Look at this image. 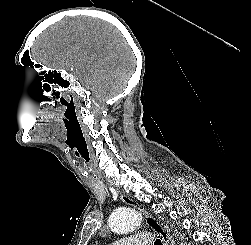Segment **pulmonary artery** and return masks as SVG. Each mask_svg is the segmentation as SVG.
<instances>
[{
  "label": "pulmonary artery",
  "instance_id": "pulmonary-artery-1",
  "mask_svg": "<svg viewBox=\"0 0 251 245\" xmlns=\"http://www.w3.org/2000/svg\"><path fill=\"white\" fill-rule=\"evenodd\" d=\"M152 239V233L143 232L125 240L114 243L113 245H150Z\"/></svg>",
  "mask_w": 251,
  "mask_h": 245
}]
</instances>
